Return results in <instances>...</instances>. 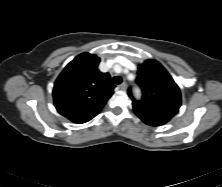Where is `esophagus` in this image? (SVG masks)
<instances>
[{"label":"esophagus","mask_w":222,"mask_h":187,"mask_svg":"<svg viewBox=\"0 0 222 187\" xmlns=\"http://www.w3.org/2000/svg\"><path fill=\"white\" fill-rule=\"evenodd\" d=\"M119 88L122 90H126L127 84L125 82H123L122 84L119 85Z\"/></svg>","instance_id":"1"}]
</instances>
